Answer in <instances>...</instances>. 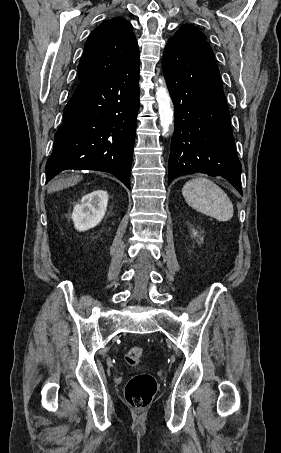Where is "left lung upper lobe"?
<instances>
[{
    "label": "left lung upper lobe",
    "instance_id": "obj_1",
    "mask_svg": "<svg viewBox=\"0 0 281 453\" xmlns=\"http://www.w3.org/2000/svg\"><path fill=\"white\" fill-rule=\"evenodd\" d=\"M170 39H177L189 47L211 50L208 43L205 41V35L194 26H182Z\"/></svg>",
    "mask_w": 281,
    "mask_h": 453
}]
</instances>
